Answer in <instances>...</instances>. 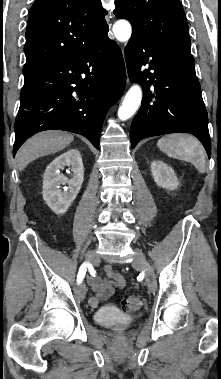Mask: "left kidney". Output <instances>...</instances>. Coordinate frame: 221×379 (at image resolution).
<instances>
[{
	"label": "left kidney",
	"instance_id": "5707ae66",
	"mask_svg": "<svg viewBox=\"0 0 221 379\" xmlns=\"http://www.w3.org/2000/svg\"><path fill=\"white\" fill-rule=\"evenodd\" d=\"M152 176L156 184L168 190H175L179 185L174 170L162 161H153L151 164Z\"/></svg>",
	"mask_w": 221,
	"mask_h": 379
}]
</instances>
